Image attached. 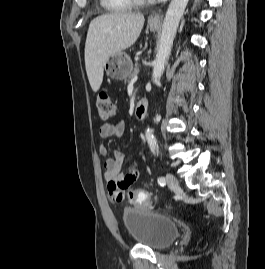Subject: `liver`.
<instances>
[{"instance_id": "1", "label": "liver", "mask_w": 265, "mask_h": 269, "mask_svg": "<svg viewBox=\"0 0 265 269\" xmlns=\"http://www.w3.org/2000/svg\"><path fill=\"white\" fill-rule=\"evenodd\" d=\"M144 21L141 14L124 12L103 14L91 21L85 43V67L94 92L102 84L107 59L136 42Z\"/></svg>"}]
</instances>
